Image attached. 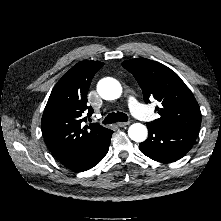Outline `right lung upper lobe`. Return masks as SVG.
Returning a JSON list of instances; mask_svg holds the SVG:
<instances>
[{
	"label": "right lung upper lobe",
	"mask_w": 221,
	"mask_h": 221,
	"mask_svg": "<svg viewBox=\"0 0 221 221\" xmlns=\"http://www.w3.org/2000/svg\"><path fill=\"white\" fill-rule=\"evenodd\" d=\"M103 65L97 61L77 63L50 94L42 116V133L49 150L63 165L97 146L110 132L95 123H82L86 122L85 113H93L92 107L87 106V92Z\"/></svg>",
	"instance_id": "right-lung-upper-lobe-1"
}]
</instances>
